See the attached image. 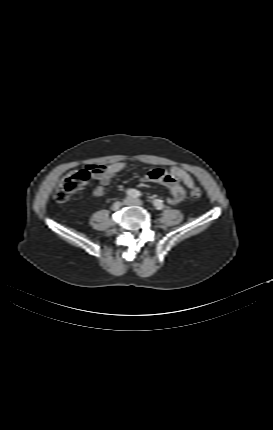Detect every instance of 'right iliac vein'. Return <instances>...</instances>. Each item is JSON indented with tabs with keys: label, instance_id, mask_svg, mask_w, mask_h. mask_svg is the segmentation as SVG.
<instances>
[{
	"label": "right iliac vein",
	"instance_id": "obj_1",
	"mask_svg": "<svg viewBox=\"0 0 273 430\" xmlns=\"http://www.w3.org/2000/svg\"><path fill=\"white\" fill-rule=\"evenodd\" d=\"M122 206V202H115L112 206L111 209L112 210H118L120 207Z\"/></svg>",
	"mask_w": 273,
	"mask_h": 430
}]
</instances>
